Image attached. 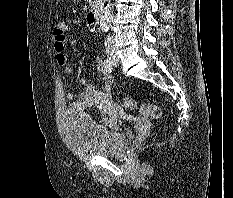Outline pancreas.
Returning <instances> with one entry per match:
<instances>
[{
    "mask_svg": "<svg viewBox=\"0 0 233 198\" xmlns=\"http://www.w3.org/2000/svg\"><path fill=\"white\" fill-rule=\"evenodd\" d=\"M103 0H89V6H91L92 9L99 7L102 5Z\"/></svg>",
    "mask_w": 233,
    "mask_h": 198,
    "instance_id": "pancreas-1",
    "label": "pancreas"
}]
</instances>
